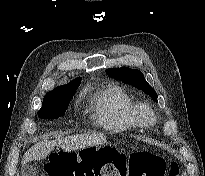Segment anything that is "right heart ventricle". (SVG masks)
<instances>
[{"label": "right heart ventricle", "instance_id": "right-heart-ventricle-1", "mask_svg": "<svg viewBox=\"0 0 205 176\" xmlns=\"http://www.w3.org/2000/svg\"><path fill=\"white\" fill-rule=\"evenodd\" d=\"M93 106L98 124L114 133H123L138 125L134 116L136 104L118 85L108 84L98 88Z\"/></svg>", "mask_w": 205, "mask_h": 176}]
</instances>
